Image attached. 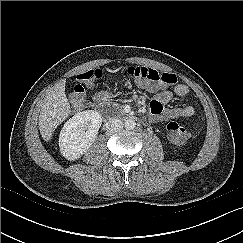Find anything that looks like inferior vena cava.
Masks as SVG:
<instances>
[{
    "instance_id": "1",
    "label": "inferior vena cava",
    "mask_w": 243,
    "mask_h": 243,
    "mask_svg": "<svg viewBox=\"0 0 243 243\" xmlns=\"http://www.w3.org/2000/svg\"><path fill=\"white\" fill-rule=\"evenodd\" d=\"M124 124L119 118H110L106 124L105 128L109 133H116L123 129Z\"/></svg>"
}]
</instances>
